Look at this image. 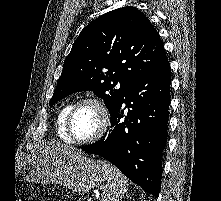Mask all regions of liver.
I'll list each match as a JSON object with an SVG mask.
<instances>
[{"instance_id": "liver-1", "label": "liver", "mask_w": 221, "mask_h": 201, "mask_svg": "<svg viewBox=\"0 0 221 201\" xmlns=\"http://www.w3.org/2000/svg\"><path fill=\"white\" fill-rule=\"evenodd\" d=\"M47 148L55 150L57 152H66V151H70L71 150L68 147L63 146V145H57L55 147H47Z\"/></svg>"}]
</instances>
